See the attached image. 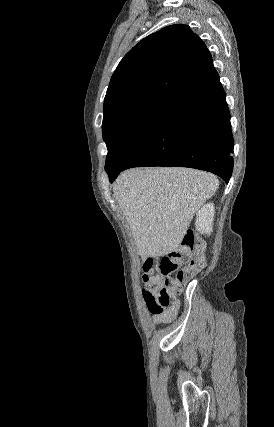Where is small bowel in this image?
<instances>
[{
	"label": "small bowel",
	"mask_w": 274,
	"mask_h": 427,
	"mask_svg": "<svg viewBox=\"0 0 274 427\" xmlns=\"http://www.w3.org/2000/svg\"><path fill=\"white\" fill-rule=\"evenodd\" d=\"M179 303L174 302L173 305L160 314H153V321L156 323H163L171 320L177 313Z\"/></svg>",
	"instance_id": "1"
}]
</instances>
